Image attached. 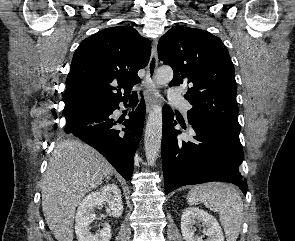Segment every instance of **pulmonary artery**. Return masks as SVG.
<instances>
[{"instance_id":"1","label":"pulmonary artery","mask_w":295,"mask_h":241,"mask_svg":"<svg viewBox=\"0 0 295 241\" xmlns=\"http://www.w3.org/2000/svg\"><path fill=\"white\" fill-rule=\"evenodd\" d=\"M169 99L184 111H187V109L190 108V104L183 98L181 92L178 90L171 89L169 92Z\"/></svg>"}]
</instances>
